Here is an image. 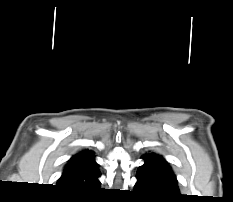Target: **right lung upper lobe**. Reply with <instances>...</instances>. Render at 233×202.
Returning a JSON list of instances; mask_svg holds the SVG:
<instances>
[{"label": "right lung upper lobe", "mask_w": 233, "mask_h": 202, "mask_svg": "<svg viewBox=\"0 0 233 202\" xmlns=\"http://www.w3.org/2000/svg\"><path fill=\"white\" fill-rule=\"evenodd\" d=\"M99 176L93 152L84 150L71 157L57 186L72 193H89L99 187Z\"/></svg>", "instance_id": "obj_1"}]
</instances>
